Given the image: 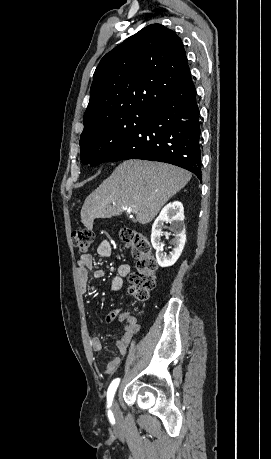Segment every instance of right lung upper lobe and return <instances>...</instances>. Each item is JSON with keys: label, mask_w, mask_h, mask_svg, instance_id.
Wrapping results in <instances>:
<instances>
[{"label": "right lung upper lobe", "mask_w": 271, "mask_h": 459, "mask_svg": "<svg viewBox=\"0 0 271 459\" xmlns=\"http://www.w3.org/2000/svg\"><path fill=\"white\" fill-rule=\"evenodd\" d=\"M191 81L181 39L151 24L107 53L93 75L84 123L139 105L156 104Z\"/></svg>", "instance_id": "cb5924a9"}]
</instances>
